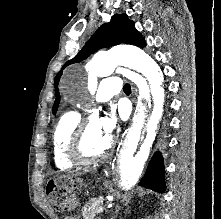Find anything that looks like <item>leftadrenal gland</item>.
Returning <instances> with one entry per match:
<instances>
[{
	"instance_id": "left-adrenal-gland-1",
	"label": "left adrenal gland",
	"mask_w": 221,
	"mask_h": 219,
	"mask_svg": "<svg viewBox=\"0 0 221 219\" xmlns=\"http://www.w3.org/2000/svg\"><path fill=\"white\" fill-rule=\"evenodd\" d=\"M120 208L118 207V209L116 210V212L119 210Z\"/></svg>"
}]
</instances>
